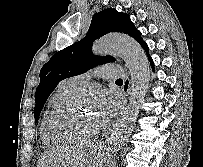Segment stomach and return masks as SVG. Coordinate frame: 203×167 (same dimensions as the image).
<instances>
[{"instance_id":"obj_1","label":"stomach","mask_w":203,"mask_h":167,"mask_svg":"<svg viewBox=\"0 0 203 167\" xmlns=\"http://www.w3.org/2000/svg\"><path fill=\"white\" fill-rule=\"evenodd\" d=\"M106 161V155L99 148L92 154L91 159L87 167H102L103 162Z\"/></svg>"}]
</instances>
